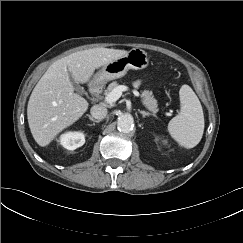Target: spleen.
I'll return each instance as SVG.
<instances>
[{
  "instance_id": "3e777b00",
  "label": "spleen",
  "mask_w": 243,
  "mask_h": 243,
  "mask_svg": "<svg viewBox=\"0 0 243 243\" xmlns=\"http://www.w3.org/2000/svg\"><path fill=\"white\" fill-rule=\"evenodd\" d=\"M181 109L168 124V132L179 145L191 149L202 139L204 132V115L201 103L188 85L179 91Z\"/></svg>"
}]
</instances>
